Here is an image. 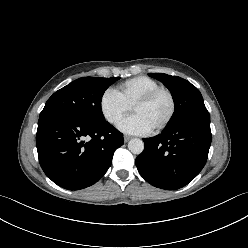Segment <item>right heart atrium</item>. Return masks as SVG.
Listing matches in <instances>:
<instances>
[{
    "mask_svg": "<svg viewBox=\"0 0 248 248\" xmlns=\"http://www.w3.org/2000/svg\"><path fill=\"white\" fill-rule=\"evenodd\" d=\"M99 106L104 119L112 125H117L130 110V107L112 89H106L102 93Z\"/></svg>",
    "mask_w": 248,
    "mask_h": 248,
    "instance_id": "d8ad5b80",
    "label": "right heart atrium"
}]
</instances>
